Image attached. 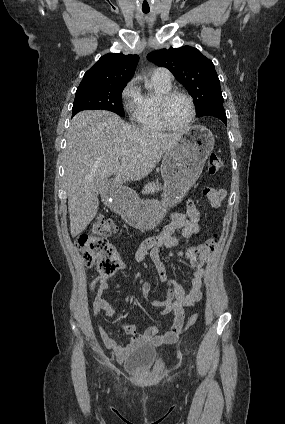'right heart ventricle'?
I'll return each instance as SVG.
<instances>
[{"label": "right heart ventricle", "instance_id": "e07e8e85", "mask_svg": "<svg viewBox=\"0 0 285 424\" xmlns=\"http://www.w3.org/2000/svg\"><path fill=\"white\" fill-rule=\"evenodd\" d=\"M150 86L152 87L153 92L140 91L139 106L133 116V119L144 130L150 132H162L166 130V128L162 125L158 117V100L162 94L171 90V82H163L152 76Z\"/></svg>", "mask_w": 285, "mask_h": 424}]
</instances>
